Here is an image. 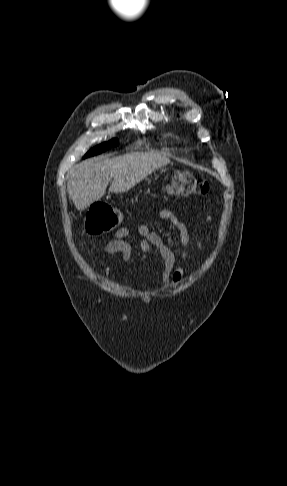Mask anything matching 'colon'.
Here are the masks:
<instances>
[{"mask_svg":"<svg viewBox=\"0 0 287 486\" xmlns=\"http://www.w3.org/2000/svg\"><path fill=\"white\" fill-rule=\"evenodd\" d=\"M169 190L181 196L204 195L210 190L209 183L194 176L189 171L174 173ZM119 210L107 202L93 204L85 220V230L92 235H100L112 231L121 221Z\"/></svg>","mask_w":287,"mask_h":486,"instance_id":"obj_1","label":"colon"}]
</instances>
